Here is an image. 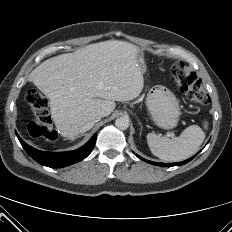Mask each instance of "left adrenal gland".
<instances>
[{"mask_svg":"<svg viewBox=\"0 0 232 232\" xmlns=\"http://www.w3.org/2000/svg\"><path fill=\"white\" fill-rule=\"evenodd\" d=\"M139 124H140V126H141V131H142V125H141V123L139 122Z\"/></svg>","mask_w":232,"mask_h":232,"instance_id":"obj_1","label":"left adrenal gland"}]
</instances>
